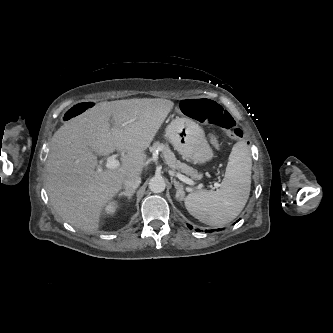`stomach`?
I'll list each match as a JSON object with an SVG mask.
<instances>
[{"mask_svg": "<svg viewBox=\"0 0 333 333\" xmlns=\"http://www.w3.org/2000/svg\"><path fill=\"white\" fill-rule=\"evenodd\" d=\"M166 137L184 159L205 164L214 157L204 130L188 117H176L166 128Z\"/></svg>", "mask_w": 333, "mask_h": 333, "instance_id": "stomach-1", "label": "stomach"}]
</instances>
